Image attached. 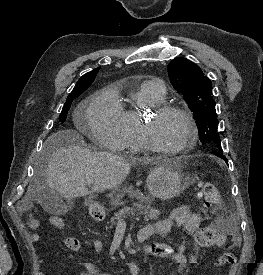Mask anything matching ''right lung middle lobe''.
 I'll use <instances>...</instances> for the list:
<instances>
[{"mask_svg": "<svg viewBox=\"0 0 263 275\" xmlns=\"http://www.w3.org/2000/svg\"><path fill=\"white\" fill-rule=\"evenodd\" d=\"M87 88H84L72 95H69L65 104H64V107L61 111V114H60V121L64 122L66 117H67V113H68V110L70 109V106H71V103L73 101V99L77 98L81 93H83Z\"/></svg>", "mask_w": 263, "mask_h": 275, "instance_id": "right-lung-middle-lobe-1", "label": "right lung middle lobe"}]
</instances>
